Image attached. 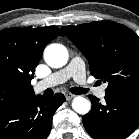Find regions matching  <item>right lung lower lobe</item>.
Returning a JSON list of instances; mask_svg holds the SVG:
<instances>
[{"label": "right lung lower lobe", "instance_id": "98d812e1", "mask_svg": "<svg viewBox=\"0 0 139 139\" xmlns=\"http://www.w3.org/2000/svg\"><path fill=\"white\" fill-rule=\"evenodd\" d=\"M61 93L41 95L0 108V139H46L57 108L65 101Z\"/></svg>", "mask_w": 139, "mask_h": 139}]
</instances>
